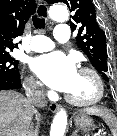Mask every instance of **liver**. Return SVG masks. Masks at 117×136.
Here are the masks:
<instances>
[{
	"instance_id": "1",
	"label": "liver",
	"mask_w": 117,
	"mask_h": 136,
	"mask_svg": "<svg viewBox=\"0 0 117 136\" xmlns=\"http://www.w3.org/2000/svg\"><path fill=\"white\" fill-rule=\"evenodd\" d=\"M35 112L16 91H0V136H27Z\"/></svg>"
}]
</instances>
